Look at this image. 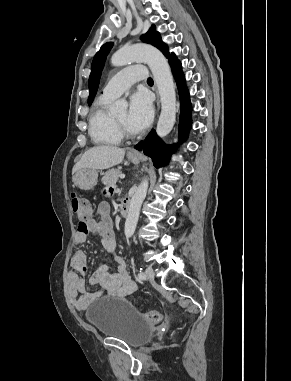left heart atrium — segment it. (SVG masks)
I'll return each instance as SVG.
<instances>
[{
	"mask_svg": "<svg viewBox=\"0 0 291 381\" xmlns=\"http://www.w3.org/2000/svg\"><path fill=\"white\" fill-rule=\"evenodd\" d=\"M153 106L149 95L139 91L130 99L128 111V124L134 132L144 130L152 121Z\"/></svg>",
	"mask_w": 291,
	"mask_h": 381,
	"instance_id": "1",
	"label": "left heart atrium"
}]
</instances>
